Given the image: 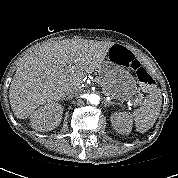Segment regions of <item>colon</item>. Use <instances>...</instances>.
Segmentation results:
<instances>
[{
    "label": "colon",
    "instance_id": "1",
    "mask_svg": "<svg viewBox=\"0 0 178 178\" xmlns=\"http://www.w3.org/2000/svg\"><path fill=\"white\" fill-rule=\"evenodd\" d=\"M131 66L136 72L138 81L142 89L145 92L151 91L154 86V80L152 79L150 74L144 68H142L140 64L134 59L131 60Z\"/></svg>",
    "mask_w": 178,
    "mask_h": 178
}]
</instances>
